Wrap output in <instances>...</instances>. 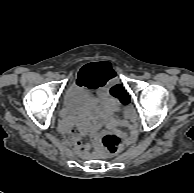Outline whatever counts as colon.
<instances>
[{
	"mask_svg": "<svg viewBox=\"0 0 194 193\" xmlns=\"http://www.w3.org/2000/svg\"><path fill=\"white\" fill-rule=\"evenodd\" d=\"M111 92L114 94V89H111ZM102 145L106 151L111 154H118L125 148L124 141L115 135H106L102 138Z\"/></svg>",
	"mask_w": 194,
	"mask_h": 193,
	"instance_id": "5ec220e1",
	"label": "colon"
}]
</instances>
